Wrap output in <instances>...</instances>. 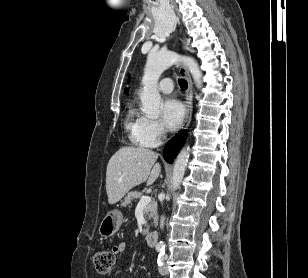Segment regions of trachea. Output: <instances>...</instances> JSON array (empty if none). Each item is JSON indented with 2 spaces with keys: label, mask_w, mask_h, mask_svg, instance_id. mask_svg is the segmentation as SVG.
Wrapping results in <instances>:
<instances>
[{
  "label": "trachea",
  "mask_w": 308,
  "mask_h": 278,
  "mask_svg": "<svg viewBox=\"0 0 308 278\" xmlns=\"http://www.w3.org/2000/svg\"><path fill=\"white\" fill-rule=\"evenodd\" d=\"M179 85L182 90H186L188 88V83L184 79H179Z\"/></svg>",
  "instance_id": "obj_1"
}]
</instances>
